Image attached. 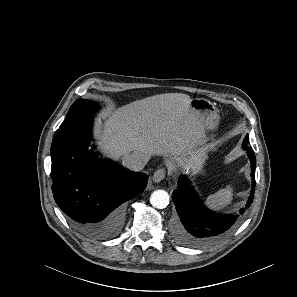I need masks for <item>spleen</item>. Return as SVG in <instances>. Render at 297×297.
Wrapping results in <instances>:
<instances>
[{
  "instance_id": "spleen-1",
  "label": "spleen",
  "mask_w": 297,
  "mask_h": 297,
  "mask_svg": "<svg viewBox=\"0 0 297 297\" xmlns=\"http://www.w3.org/2000/svg\"><path fill=\"white\" fill-rule=\"evenodd\" d=\"M232 199L233 187L231 185H227L225 188L209 195L207 197V203L212 208L223 209L231 204Z\"/></svg>"
}]
</instances>
